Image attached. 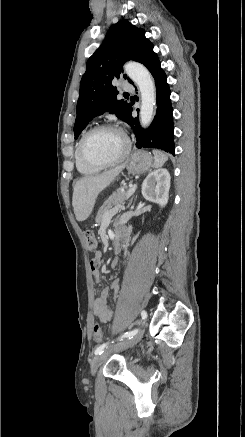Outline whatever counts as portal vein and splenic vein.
Here are the masks:
<instances>
[{
  "mask_svg": "<svg viewBox=\"0 0 245 437\" xmlns=\"http://www.w3.org/2000/svg\"><path fill=\"white\" fill-rule=\"evenodd\" d=\"M136 188H137V185H136V184H131V185H130V188H129L128 193H127V197H128V198L134 194ZM119 209H123V206H117V207H115V208L112 209L108 214H106V217H107V218L112 217L113 215H115V214L118 212Z\"/></svg>",
  "mask_w": 245,
  "mask_h": 437,
  "instance_id": "obj_1",
  "label": "portal vein and splenic vein"
}]
</instances>
